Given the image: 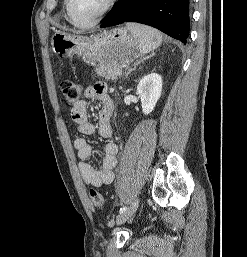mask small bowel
I'll return each mask as SVG.
<instances>
[{"label": "small bowel", "instance_id": "small-bowel-1", "mask_svg": "<svg viewBox=\"0 0 247 257\" xmlns=\"http://www.w3.org/2000/svg\"><path fill=\"white\" fill-rule=\"evenodd\" d=\"M84 95L87 99H98L101 102V109L98 114V134L104 139H110L113 136V126L111 123L114 104L107 93V87L104 83H97L85 88ZM71 117L76 124L77 131L85 136L93 135L96 131L95 125L89 119L88 106L86 101L80 100L72 105ZM74 147L77 156L80 159L78 164L79 171L84 182L94 188L108 185L113 182L114 169L117 165L118 146L113 143H107L103 149L102 168L95 169L88 160L92 156L93 149L84 138H77L74 141Z\"/></svg>", "mask_w": 247, "mask_h": 257}]
</instances>
